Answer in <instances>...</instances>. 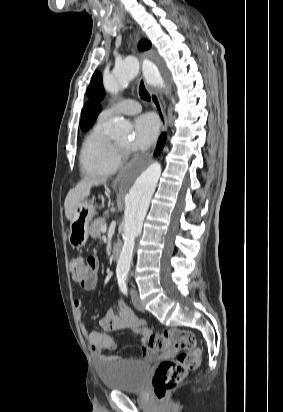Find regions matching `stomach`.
Wrapping results in <instances>:
<instances>
[{
  "label": "stomach",
  "instance_id": "obj_1",
  "mask_svg": "<svg viewBox=\"0 0 283 412\" xmlns=\"http://www.w3.org/2000/svg\"><path fill=\"white\" fill-rule=\"evenodd\" d=\"M95 215V205L91 200L81 201L74 211L70 222L68 240L73 248L85 245L90 233V222Z\"/></svg>",
  "mask_w": 283,
  "mask_h": 412
}]
</instances>
